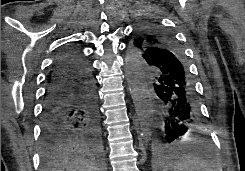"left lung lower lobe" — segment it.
<instances>
[{
  "instance_id": "left-lung-lower-lobe-1",
  "label": "left lung lower lobe",
  "mask_w": 245,
  "mask_h": 171,
  "mask_svg": "<svg viewBox=\"0 0 245 171\" xmlns=\"http://www.w3.org/2000/svg\"><path fill=\"white\" fill-rule=\"evenodd\" d=\"M138 64L143 66L144 76L156 93L160 137L153 138L151 146L154 151L160 150L161 157L156 161L164 162L174 154L166 145L181 140L200 124L194 85L181 53L176 50L154 52L152 58Z\"/></svg>"
}]
</instances>
